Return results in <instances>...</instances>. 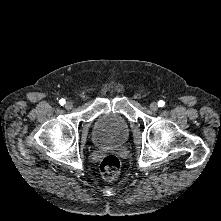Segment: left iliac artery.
<instances>
[{
    "mask_svg": "<svg viewBox=\"0 0 221 221\" xmlns=\"http://www.w3.org/2000/svg\"><path fill=\"white\" fill-rule=\"evenodd\" d=\"M159 107H163L165 105V102L163 100L158 101Z\"/></svg>",
    "mask_w": 221,
    "mask_h": 221,
    "instance_id": "left-iliac-artery-1",
    "label": "left iliac artery"
}]
</instances>
